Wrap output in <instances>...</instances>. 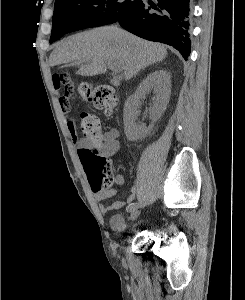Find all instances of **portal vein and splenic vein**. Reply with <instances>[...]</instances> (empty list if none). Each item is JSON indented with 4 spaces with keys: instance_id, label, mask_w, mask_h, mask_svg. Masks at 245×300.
Wrapping results in <instances>:
<instances>
[{
    "instance_id": "18ae733b",
    "label": "portal vein and splenic vein",
    "mask_w": 245,
    "mask_h": 300,
    "mask_svg": "<svg viewBox=\"0 0 245 300\" xmlns=\"http://www.w3.org/2000/svg\"><path fill=\"white\" fill-rule=\"evenodd\" d=\"M108 67L115 73L121 72V68L114 62H108Z\"/></svg>"
}]
</instances>
